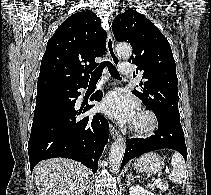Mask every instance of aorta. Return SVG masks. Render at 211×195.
<instances>
[{
	"label": "aorta",
	"instance_id": "aorta-1",
	"mask_svg": "<svg viewBox=\"0 0 211 195\" xmlns=\"http://www.w3.org/2000/svg\"><path fill=\"white\" fill-rule=\"evenodd\" d=\"M118 56L123 58H129L132 54L130 45L120 43L116 47ZM126 149V141L123 137L117 138L111 145L109 153V164L113 172H116L120 168L121 161L123 159Z\"/></svg>",
	"mask_w": 211,
	"mask_h": 195
}]
</instances>
